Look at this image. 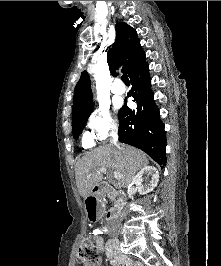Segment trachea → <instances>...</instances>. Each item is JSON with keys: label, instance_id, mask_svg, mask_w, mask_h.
Listing matches in <instances>:
<instances>
[{"label": "trachea", "instance_id": "3493384b", "mask_svg": "<svg viewBox=\"0 0 221 266\" xmlns=\"http://www.w3.org/2000/svg\"><path fill=\"white\" fill-rule=\"evenodd\" d=\"M121 79H122V81H123L125 84H130L129 78H128V76H127L126 74H123V75L121 76Z\"/></svg>", "mask_w": 221, "mask_h": 266}]
</instances>
